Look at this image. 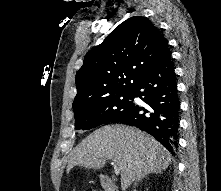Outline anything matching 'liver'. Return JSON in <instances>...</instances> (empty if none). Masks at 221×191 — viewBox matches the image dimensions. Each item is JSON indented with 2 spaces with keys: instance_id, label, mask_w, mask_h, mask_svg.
Wrapping results in <instances>:
<instances>
[{
  "instance_id": "obj_1",
  "label": "liver",
  "mask_w": 221,
  "mask_h": 191,
  "mask_svg": "<svg viewBox=\"0 0 221 191\" xmlns=\"http://www.w3.org/2000/svg\"><path fill=\"white\" fill-rule=\"evenodd\" d=\"M106 159L113 160L121 171V187L152 172L168 168L171 154L153 137L134 127L104 126L78 144L71 155L67 171L73 166L100 169Z\"/></svg>"
}]
</instances>
